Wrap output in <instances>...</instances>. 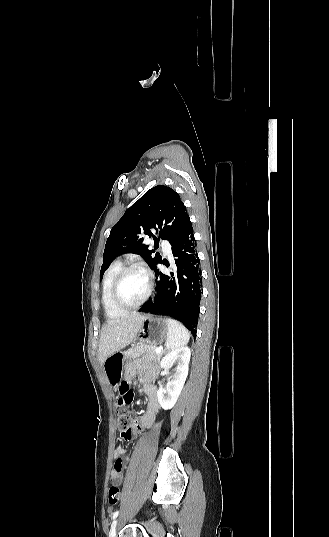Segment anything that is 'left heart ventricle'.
I'll list each match as a JSON object with an SVG mask.
<instances>
[{"label": "left heart ventricle", "instance_id": "b2bd125f", "mask_svg": "<svg viewBox=\"0 0 329 537\" xmlns=\"http://www.w3.org/2000/svg\"><path fill=\"white\" fill-rule=\"evenodd\" d=\"M148 287L146 275L138 270L127 273L120 286L121 299L127 304L138 302Z\"/></svg>", "mask_w": 329, "mask_h": 537}]
</instances>
